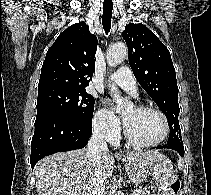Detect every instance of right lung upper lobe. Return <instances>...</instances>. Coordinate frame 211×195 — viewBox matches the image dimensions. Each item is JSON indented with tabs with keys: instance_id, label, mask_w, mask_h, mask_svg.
I'll list each match as a JSON object with an SVG mask.
<instances>
[{
	"instance_id": "cb5924a9",
	"label": "right lung upper lobe",
	"mask_w": 211,
	"mask_h": 195,
	"mask_svg": "<svg viewBox=\"0 0 211 195\" xmlns=\"http://www.w3.org/2000/svg\"><path fill=\"white\" fill-rule=\"evenodd\" d=\"M96 37L85 22L71 25L48 49L38 92L54 88L85 90L95 70Z\"/></svg>"
}]
</instances>
